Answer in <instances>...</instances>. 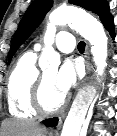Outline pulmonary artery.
Masks as SVG:
<instances>
[{"label":"pulmonary artery","mask_w":117,"mask_h":136,"mask_svg":"<svg viewBox=\"0 0 117 136\" xmlns=\"http://www.w3.org/2000/svg\"><path fill=\"white\" fill-rule=\"evenodd\" d=\"M54 44L56 48L63 53L72 52L76 46L73 34L67 30H61L58 32ZM42 47L43 45L41 43H36L34 45V50L40 51Z\"/></svg>","instance_id":"1"}]
</instances>
